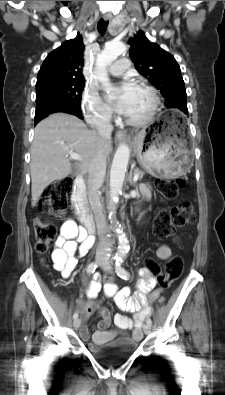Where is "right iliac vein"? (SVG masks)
Here are the masks:
<instances>
[{"mask_svg": "<svg viewBox=\"0 0 225 395\" xmlns=\"http://www.w3.org/2000/svg\"><path fill=\"white\" fill-rule=\"evenodd\" d=\"M104 262V259H103V257H101V256H98V257H96V263L97 264H102ZM80 319H75L74 321H73V327H74V329H78L79 328V326H80Z\"/></svg>", "mask_w": 225, "mask_h": 395, "instance_id": "right-iliac-vein-1", "label": "right iliac vein"}]
</instances>
